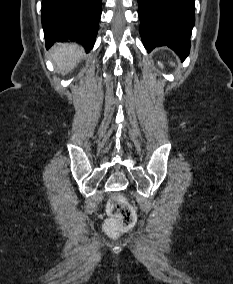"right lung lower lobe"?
<instances>
[{
  "mask_svg": "<svg viewBox=\"0 0 233 284\" xmlns=\"http://www.w3.org/2000/svg\"><path fill=\"white\" fill-rule=\"evenodd\" d=\"M102 0H42V26L49 48L76 41L89 52L95 43Z\"/></svg>",
  "mask_w": 233,
  "mask_h": 284,
  "instance_id": "obj_1",
  "label": "right lung lower lobe"
}]
</instances>
